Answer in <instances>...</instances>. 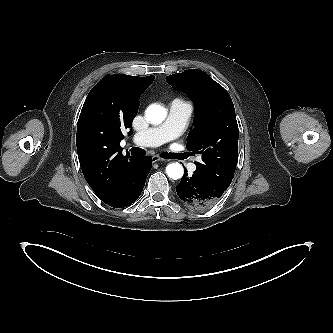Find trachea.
I'll use <instances>...</instances> for the list:
<instances>
[{"label":"trachea","instance_id":"obj_1","mask_svg":"<svg viewBox=\"0 0 333 333\" xmlns=\"http://www.w3.org/2000/svg\"><path fill=\"white\" fill-rule=\"evenodd\" d=\"M131 154L136 156H142L146 154V151L144 149L134 147L131 149ZM160 156L164 159H172L175 158L173 154L171 153H161Z\"/></svg>","mask_w":333,"mask_h":333}]
</instances>
